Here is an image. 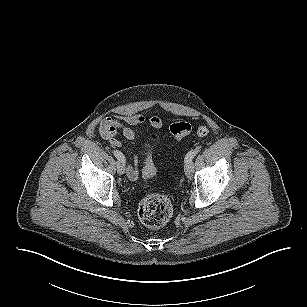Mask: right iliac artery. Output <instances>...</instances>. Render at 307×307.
Here are the masks:
<instances>
[{"mask_svg":"<svg viewBox=\"0 0 307 307\" xmlns=\"http://www.w3.org/2000/svg\"><path fill=\"white\" fill-rule=\"evenodd\" d=\"M113 154H114V156H115L118 160H121L122 162L125 163V157H124V155H123L120 151L114 150V151H113Z\"/></svg>","mask_w":307,"mask_h":307,"instance_id":"obj_1","label":"right iliac artery"}]
</instances>
